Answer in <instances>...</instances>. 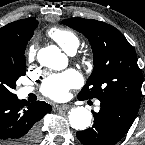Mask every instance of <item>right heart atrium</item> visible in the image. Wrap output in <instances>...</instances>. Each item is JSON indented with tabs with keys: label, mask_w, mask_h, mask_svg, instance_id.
<instances>
[{
	"label": "right heart atrium",
	"mask_w": 145,
	"mask_h": 145,
	"mask_svg": "<svg viewBox=\"0 0 145 145\" xmlns=\"http://www.w3.org/2000/svg\"><path fill=\"white\" fill-rule=\"evenodd\" d=\"M36 46L35 45H31L28 49V52H27V56L29 59H33L36 55Z\"/></svg>",
	"instance_id": "d8ad5b80"
}]
</instances>
